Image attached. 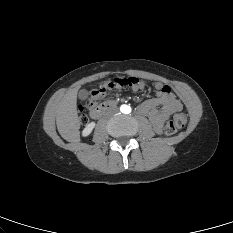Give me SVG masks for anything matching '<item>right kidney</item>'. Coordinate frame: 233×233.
<instances>
[{
  "mask_svg": "<svg viewBox=\"0 0 233 233\" xmlns=\"http://www.w3.org/2000/svg\"><path fill=\"white\" fill-rule=\"evenodd\" d=\"M95 127V123L91 122L90 124H88L84 130L82 131V136L86 137L88 135H90V133L92 132L93 128Z\"/></svg>",
  "mask_w": 233,
  "mask_h": 233,
  "instance_id": "right-kidney-1",
  "label": "right kidney"
}]
</instances>
